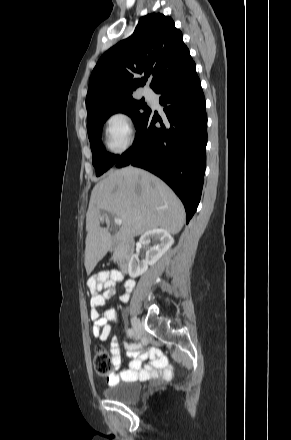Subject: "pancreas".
I'll return each instance as SVG.
<instances>
[{
	"mask_svg": "<svg viewBox=\"0 0 291 440\" xmlns=\"http://www.w3.org/2000/svg\"><path fill=\"white\" fill-rule=\"evenodd\" d=\"M113 260L117 261V256L116 255L113 256Z\"/></svg>",
	"mask_w": 291,
	"mask_h": 440,
	"instance_id": "obj_1",
	"label": "pancreas"
}]
</instances>
